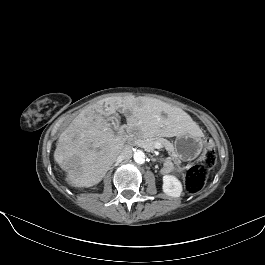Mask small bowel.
<instances>
[{"mask_svg": "<svg viewBox=\"0 0 265 265\" xmlns=\"http://www.w3.org/2000/svg\"><path fill=\"white\" fill-rule=\"evenodd\" d=\"M174 168H175L174 163H173L171 160L166 159V160L164 161V163H163V166H162L161 172H162L163 174H168V173H170L171 171H173Z\"/></svg>", "mask_w": 265, "mask_h": 265, "instance_id": "small-bowel-1", "label": "small bowel"}]
</instances>
